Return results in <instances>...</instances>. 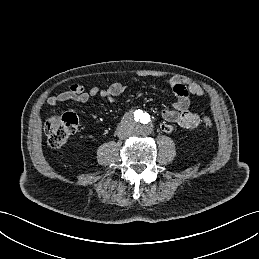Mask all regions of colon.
Listing matches in <instances>:
<instances>
[{
	"instance_id": "obj_1",
	"label": "colon",
	"mask_w": 259,
	"mask_h": 259,
	"mask_svg": "<svg viewBox=\"0 0 259 259\" xmlns=\"http://www.w3.org/2000/svg\"><path fill=\"white\" fill-rule=\"evenodd\" d=\"M203 126L210 129L213 126V120L209 116L203 118ZM78 119L73 113H66L61 116L50 118L44 127L48 143L53 148H60L76 132Z\"/></svg>"
}]
</instances>
